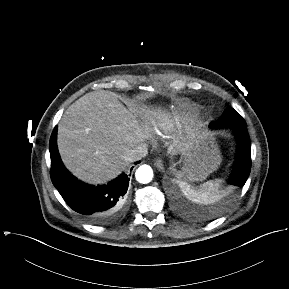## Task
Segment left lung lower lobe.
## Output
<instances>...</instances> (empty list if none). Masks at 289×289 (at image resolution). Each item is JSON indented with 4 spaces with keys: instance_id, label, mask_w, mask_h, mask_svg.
<instances>
[{
    "instance_id": "0a47b994",
    "label": "left lung lower lobe",
    "mask_w": 289,
    "mask_h": 289,
    "mask_svg": "<svg viewBox=\"0 0 289 289\" xmlns=\"http://www.w3.org/2000/svg\"><path fill=\"white\" fill-rule=\"evenodd\" d=\"M233 127L238 139V155L236 158L230 183L235 186H243L250 174L251 169V144L246 127Z\"/></svg>"
}]
</instances>
